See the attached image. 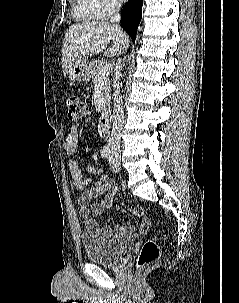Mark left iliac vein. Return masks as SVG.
Masks as SVG:
<instances>
[{
  "instance_id": "4c4485c4",
  "label": "left iliac vein",
  "mask_w": 239,
  "mask_h": 303,
  "mask_svg": "<svg viewBox=\"0 0 239 303\" xmlns=\"http://www.w3.org/2000/svg\"><path fill=\"white\" fill-rule=\"evenodd\" d=\"M109 164L114 172H118L120 170V162L118 158L109 156Z\"/></svg>"
}]
</instances>
